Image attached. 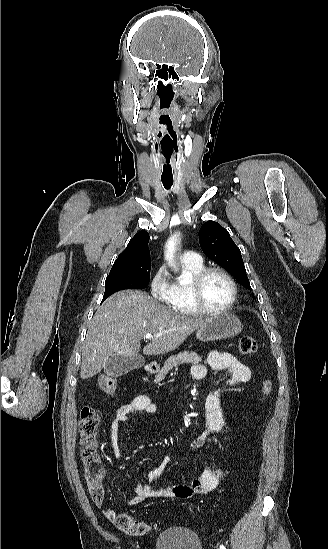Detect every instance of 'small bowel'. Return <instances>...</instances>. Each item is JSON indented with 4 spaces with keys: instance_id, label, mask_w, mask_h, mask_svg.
Masks as SVG:
<instances>
[{
    "instance_id": "small-bowel-1",
    "label": "small bowel",
    "mask_w": 328,
    "mask_h": 549,
    "mask_svg": "<svg viewBox=\"0 0 328 549\" xmlns=\"http://www.w3.org/2000/svg\"><path fill=\"white\" fill-rule=\"evenodd\" d=\"M207 362L213 370L228 371L230 379L224 388L207 396L205 401V430L190 443L184 453L185 457L192 451L205 447L210 436L219 433L223 429L224 421L221 399L225 388L246 383L252 376L250 367L230 353L212 351L207 356ZM191 373L196 379H203L206 375V367L202 364H195L191 368ZM157 412V407L146 395H139L116 410L109 427V437L113 452L117 458L122 457L118 446L119 425L129 422L130 416L133 414H156ZM171 460L172 458L169 455L162 457L158 466L146 474L147 483L140 484L135 488V496L128 501L129 505L140 504L152 497L189 499L195 495L207 494L218 487L224 476V472L220 468H205L197 477H190L186 485L171 484L157 489L153 488L151 483L155 482L161 476ZM109 512L114 514L112 510H105V515L107 516Z\"/></svg>"
}]
</instances>
